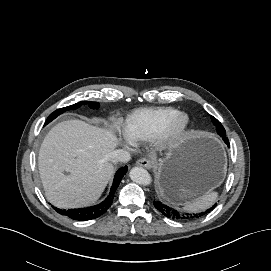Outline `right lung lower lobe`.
<instances>
[{
	"label": "right lung lower lobe",
	"mask_w": 271,
	"mask_h": 271,
	"mask_svg": "<svg viewBox=\"0 0 271 271\" xmlns=\"http://www.w3.org/2000/svg\"><path fill=\"white\" fill-rule=\"evenodd\" d=\"M126 172H127V166L122 167L121 169L117 171L114 177V182L112 184L109 196L98 205L87 207V208L69 209V210L58 209L56 207H53V208L59 214L66 215L73 220L84 221V220L95 219L101 216L102 214H104L107 211V209L112 205L114 192L116 191L122 177L124 176Z\"/></svg>",
	"instance_id": "98d812e1"
}]
</instances>
